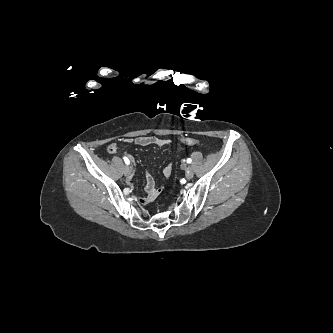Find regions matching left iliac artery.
Wrapping results in <instances>:
<instances>
[{"label": "left iliac artery", "mask_w": 333, "mask_h": 333, "mask_svg": "<svg viewBox=\"0 0 333 333\" xmlns=\"http://www.w3.org/2000/svg\"><path fill=\"white\" fill-rule=\"evenodd\" d=\"M191 162H192V159H191V158H188V159H187V163L190 164Z\"/></svg>", "instance_id": "44dca946"}]
</instances>
